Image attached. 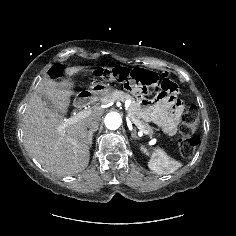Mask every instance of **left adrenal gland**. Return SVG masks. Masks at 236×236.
Instances as JSON below:
<instances>
[{
	"mask_svg": "<svg viewBox=\"0 0 236 236\" xmlns=\"http://www.w3.org/2000/svg\"><path fill=\"white\" fill-rule=\"evenodd\" d=\"M132 137L135 139H138V136L136 135V131L134 130V132L132 133Z\"/></svg>",
	"mask_w": 236,
	"mask_h": 236,
	"instance_id": "1",
	"label": "left adrenal gland"
}]
</instances>
